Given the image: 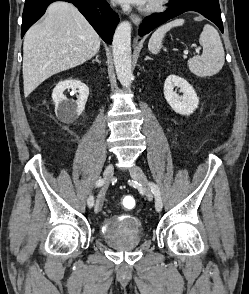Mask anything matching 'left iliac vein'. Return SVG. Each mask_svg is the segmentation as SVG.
<instances>
[{"mask_svg": "<svg viewBox=\"0 0 249 294\" xmlns=\"http://www.w3.org/2000/svg\"><path fill=\"white\" fill-rule=\"evenodd\" d=\"M131 178L144 186V192L149 201L153 199V192L150 187L147 185V178L143 172V170L139 166H134L130 170Z\"/></svg>", "mask_w": 249, "mask_h": 294, "instance_id": "obj_1", "label": "left iliac vein"}]
</instances>
